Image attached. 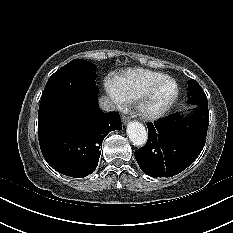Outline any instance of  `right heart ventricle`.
<instances>
[{"mask_svg":"<svg viewBox=\"0 0 233 233\" xmlns=\"http://www.w3.org/2000/svg\"><path fill=\"white\" fill-rule=\"evenodd\" d=\"M166 77L165 74L144 69H131L117 76L114 85L127 101L138 99L153 83Z\"/></svg>","mask_w":233,"mask_h":233,"instance_id":"e07e8e85","label":"right heart ventricle"}]
</instances>
